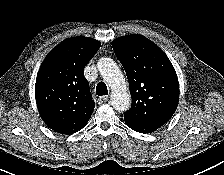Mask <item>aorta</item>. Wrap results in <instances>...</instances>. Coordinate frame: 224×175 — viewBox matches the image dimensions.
I'll return each mask as SVG.
<instances>
[{
  "label": "aorta",
  "instance_id": "762f6f07",
  "mask_svg": "<svg viewBox=\"0 0 224 175\" xmlns=\"http://www.w3.org/2000/svg\"><path fill=\"white\" fill-rule=\"evenodd\" d=\"M97 67L101 76L111 88V105L117 111H126L130 106L131 98L127 91V85L121 70L116 63L108 57L99 59Z\"/></svg>",
  "mask_w": 224,
  "mask_h": 175
}]
</instances>
